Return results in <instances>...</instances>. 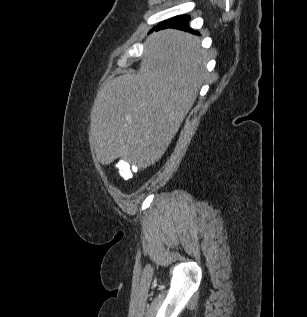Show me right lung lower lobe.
Masks as SVG:
<instances>
[{
	"label": "right lung lower lobe",
	"mask_w": 307,
	"mask_h": 317,
	"mask_svg": "<svg viewBox=\"0 0 307 317\" xmlns=\"http://www.w3.org/2000/svg\"><path fill=\"white\" fill-rule=\"evenodd\" d=\"M189 20V15H178L159 23L153 30L176 28L180 30L190 31L191 33H195V31L191 30L188 26Z\"/></svg>",
	"instance_id": "1"
}]
</instances>
